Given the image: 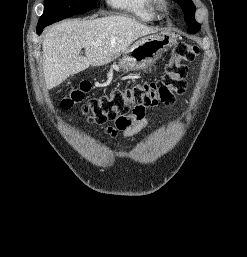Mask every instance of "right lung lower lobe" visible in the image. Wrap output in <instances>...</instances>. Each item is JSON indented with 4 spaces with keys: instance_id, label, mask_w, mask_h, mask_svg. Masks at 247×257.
<instances>
[{
    "instance_id": "1",
    "label": "right lung lower lobe",
    "mask_w": 247,
    "mask_h": 257,
    "mask_svg": "<svg viewBox=\"0 0 247 257\" xmlns=\"http://www.w3.org/2000/svg\"><path fill=\"white\" fill-rule=\"evenodd\" d=\"M47 25L48 24L37 25V29H36L37 34L38 35L41 34L43 29H44V27H46Z\"/></svg>"
}]
</instances>
